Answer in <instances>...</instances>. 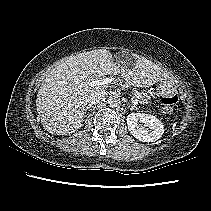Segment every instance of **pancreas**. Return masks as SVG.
Instances as JSON below:
<instances>
[{
	"instance_id": "1",
	"label": "pancreas",
	"mask_w": 211,
	"mask_h": 211,
	"mask_svg": "<svg viewBox=\"0 0 211 211\" xmlns=\"http://www.w3.org/2000/svg\"><path fill=\"white\" fill-rule=\"evenodd\" d=\"M134 92V98L137 99V101L140 103V104H148L150 101V97L149 95L145 94V93H140L136 90L133 91Z\"/></svg>"
}]
</instances>
